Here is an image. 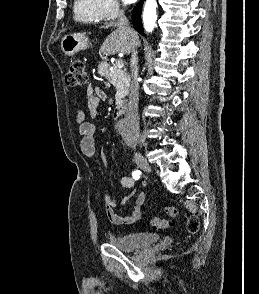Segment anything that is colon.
Here are the masks:
<instances>
[{"instance_id": "5ec220e1", "label": "colon", "mask_w": 259, "mask_h": 294, "mask_svg": "<svg viewBox=\"0 0 259 294\" xmlns=\"http://www.w3.org/2000/svg\"><path fill=\"white\" fill-rule=\"evenodd\" d=\"M65 82L69 87H81L87 83V73L85 71L84 63L81 60L71 61L69 69L65 75ZM163 213L169 217L177 215V209L172 206L163 208ZM150 224L157 229H165L170 227L171 223L160 217H153ZM199 228V221L196 217H191L188 221V230L195 233Z\"/></svg>"}]
</instances>
